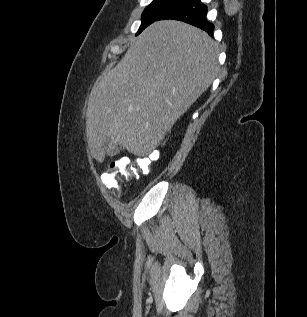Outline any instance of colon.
Here are the masks:
<instances>
[{"mask_svg":"<svg viewBox=\"0 0 307 317\" xmlns=\"http://www.w3.org/2000/svg\"><path fill=\"white\" fill-rule=\"evenodd\" d=\"M158 159V152L153 151L145 157L134 160L119 158L114 160L107 172L101 176L104 187L114 194L120 193L119 181L130 180L140 174H147L150 166Z\"/></svg>","mask_w":307,"mask_h":317,"instance_id":"obj_1","label":"colon"}]
</instances>
